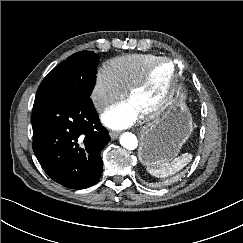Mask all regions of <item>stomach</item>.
<instances>
[{"mask_svg":"<svg viewBox=\"0 0 243 243\" xmlns=\"http://www.w3.org/2000/svg\"><path fill=\"white\" fill-rule=\"evenodd\" d=\"M183 99L184 93L178 90L167 110L142 127L138 156L143 165L171 161L189 138L193 121Z\"/></svg>","mask_w":243,"mask_h":243,"instance_id":"0dacf381","label":"stomach"}]
</instances>
